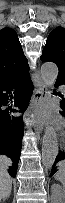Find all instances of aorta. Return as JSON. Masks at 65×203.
Wrapping results in <instances>:
<instances>
[{"label": "aorta", "mask_w": 65, "mask_h": 203, "mask_svg": "<svg viewBox=\"0 0 65 203\" xmlns=\"http://www.w3.org/2000/svg\"><path fill=\"white\" fill-rule=\"evenodd\" d=\"M58 76V68L56 64L52 62L44 63L41 66V78L43 84L47 88L53 87ZM58 155V139L57 133L53 126V123H50L46 127L45 133L42 139V164L47 169L52 168L55 159Z\"/></svg>", "instance_id": "obj_1"}]
</instances>
